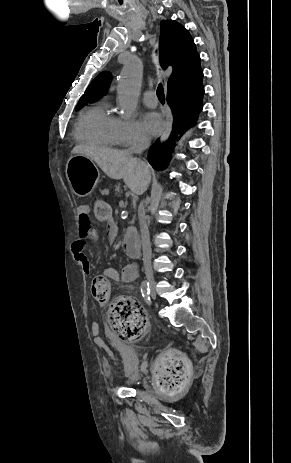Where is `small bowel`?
<instances>
[{"label": "small bowel", "mask_w": 291, "mask_h": 463, "mask_svg": "<svg viewBox=\"0 0 291 463\" xmlns=\"http://www.w3.org/2000/svg\"><path fill=\"white\" fill-rule=\"evenodd\" d=\"M103 220L107 221L108 243L111 246H114L117 243L116 238L118 229L110 216ZM98 238L99 232L97 227L90 221L88 207H80L78 215V235L71 244V251L75 261L86 274L91 272V267L85 254L87 240H98ZM104 276L114 281L132 282L136 279L137 273L132 265H127L121 272L115 268H107L104 271ZM95 331L97 332V329H95Z\"/></svg>", "instance_id": "c3829d8e"}]
</instances>
